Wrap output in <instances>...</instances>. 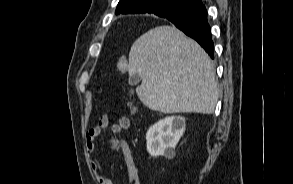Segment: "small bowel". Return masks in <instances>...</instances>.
I'll return each mask as SVG.
<instances>
[{"label":"small bowel","instance_id":"small-bowel-1","mask_svg":"<svg viewBox=\"0 0 293 184\" xmlns=\"http://www.w3.org/2000/svg\"><path fill=\"white\" fill-rule=\"evenodd\" d=\"M109 122V116L107 114H102L98 119L97 125L89 129L86 133V149L90 156V164L98 184H114L111 179L103 175L99 159L93 156L96 152V140L101 133L107 129ZM122 154L127 168L129 183L141 184L136 162L126 145L122 147Z\"/></svg>","mask_w":293,"mask_h":184}]
</instances>
